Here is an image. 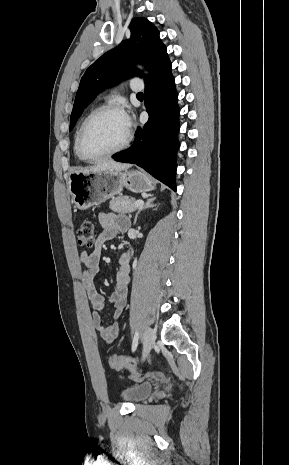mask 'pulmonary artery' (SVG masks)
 <instances>
[{"label":"pulmonary artery","instance_id":"1","mask_svg":"<svg viewBox=\"0 0 289 465\" xmlns=\"http://www.w3.org/2000/svg\"><path fill=\"white\" fill-rule=\"evenodd\" d=\"M129 86L131 90L135 92H140L143 89V84L140 79L138 78H132L130 80Z\"/></svg>","mask_w":289,"mask_h":465}]
</instances>
